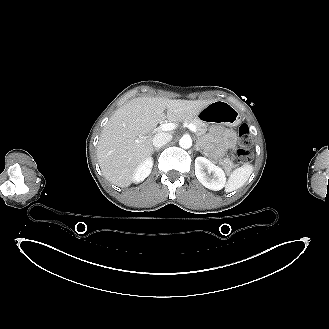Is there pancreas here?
Masks as SVG:
<instances>
[{"instance_id":"pancreas-1","label":"pancreas","mask_w":329,"mask_h":329,"mask_svg":"<svg viewBox=\"0 0 329 329\" xmlns=\"http://www.w3.org/2000/svg\"><path fill=\"white\" fill-rule=\"evenodd\" d=\"M183 122L189 123V124H193L196 126L197 128V134L199 136H205L206 132H207V124L204 123L203 121H200L198 119H189V120H184ZM203 138H201L202 140ZM214 163H219L220 165H222L226 171H230L233 167L232 161L230 158H224V159H214L213 160Z\"/></svg>"}]
</instances>
